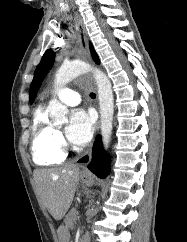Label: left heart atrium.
Returning <instances> with one entry per match:
<instances>
[{
	"instance_id": "1",
	"label": "left heart atrium",
	"mask_w": 187,
	"mask_h": 242,
	"mask_svg": "<svg viewBox=\"0 0 187 242\" xmlns=\"http://www.w3.org/2000/svg\"><path fill=\"white\" fill-rule=\"evenodd\" d=\"M94 129V116L82 108L71 112L69 124L66 128L68 140L76 145H85L92 137Z\"/></svg>"
}]
</instances>
